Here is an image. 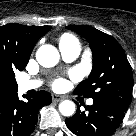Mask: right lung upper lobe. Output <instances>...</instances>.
<instances>
[{
	"label": "right lung upper lobe",
	"instance_id": "1",
	"mask_svg": "<svg viewBox=\"0 0 136 136\" xmlns=\"http://www.w3.org/2000/svg\"><path fill=\"white\" fill-rule=\"evenodd\" d=\"M51 29L50 26L7 24L0 27V82L10 70L22 71L28 63L35 43ZM9 93L0 85V98Z\"/></svg>",
	"mask_w": 136,
	"mask_h": 136
}]
</instances>
